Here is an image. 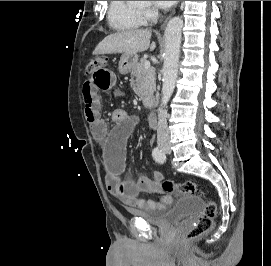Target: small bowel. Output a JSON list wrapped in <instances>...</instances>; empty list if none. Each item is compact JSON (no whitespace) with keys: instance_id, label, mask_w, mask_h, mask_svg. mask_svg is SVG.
<instances>
[{"instance_id":"small-bowel-1","label":"small bowel","mask_w":271,"mask_h":266,"mask_svg":"<svg viewBox=\"0 0 271 266\" xmlns=\"http://www.w3.org/2000/svg\"><path fill=\"white\" fill-rule=\"evenodd\" d=\"M90 78L85 82L82 95L85 104V117L93 138L106 145L104 162L105 182L108 190L132 208L143 211H162L173 201L171 195H165L159 200L140 198L141 193H159L163 174L153 172V178L140 176L136 180L123 179L126 162V140L134 126V119L130 118L122 109L112 113L115 127L110 130L101 117L99 91L112 90L117 81L116 72L108 65L96 68L90 72Z\"/></svg>"}]
</instances>
